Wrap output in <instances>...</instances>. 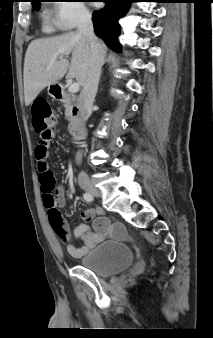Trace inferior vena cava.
<instances>
[{"mask_svg":"<svg viewBox=\"0 0 213 338\" xmlns=\"http://www.w3.org/2000/svg\"><path fill=\"white\" fill-rule=\"evenodd\" d=\"M78 35L88 40L91 50L90 72L88 79L79 95L80 120L82 123H85L89 118L90 110L98 90L101 67L105 60V51L101 42L94 34L91 15L88 12H83L80 16ZM78 180L88 181L87 174L81 172L78 176Z\"/></svg>","mask_w":213,"mask_h":338,"instance_id":"1","label":"inferior vena cava"}]
</instances>
